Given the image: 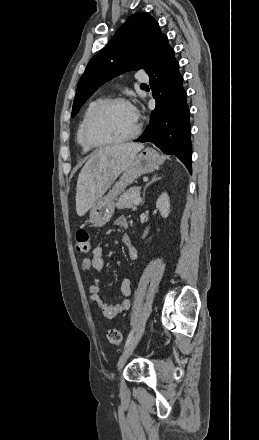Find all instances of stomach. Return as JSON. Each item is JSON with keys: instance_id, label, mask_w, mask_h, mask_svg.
<instances>
[{"instance_id": "1", "label": "stomach", "mask_w": 259, "mask_h": 440, "mask_svg": "<svg viewBox=\"0 0 259 440\" xmlns=\"http://www.w3.org/2000/svg\"><path fill=\"white\" fill-rule=\"evenodd\" d=\"M161 163L160 155L152 148L140 152L130 165L122 172L119 180L112 186L107 195L100 197L91 207L89 222L93 227H103L112 218L115 200L124 189L136 178L155 171Z\"/></svg>"}]
</instances>
